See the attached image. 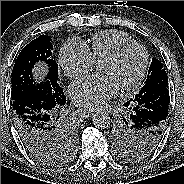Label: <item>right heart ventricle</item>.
<instances>
[{
  "label": "right heart ventricle",
  "instance_id": "obj_1",
  "mask_svg": "<svg viewBox=\"0 0 184 184\" xmlns=\"http://www.w3.org/2000/svg\"><path fill=\"white\" fill-rule=\"evenodd\" d=\"M134 42V39L124 32L106 30L93 35L88 48L92 60L94 62H100L120 46Z\"/></svg>",
  "mask_w": 184,
  "mask_h": 184
}]
</instances>
